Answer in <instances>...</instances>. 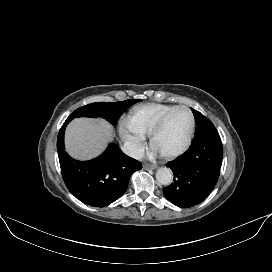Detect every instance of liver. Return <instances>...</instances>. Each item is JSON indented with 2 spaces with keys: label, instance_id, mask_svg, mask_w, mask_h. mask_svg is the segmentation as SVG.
Wrapping results in <instances>:
<instances>
[{
  "label": "liver",
  "instance_id": "obj_1",
  "mask_svg": "<svg viewBox=\"0 0 272 272\" xmlns=\"http://www.w3.org/2000/svg\"><path fill=\"white\" fill-rule=\"evenodd\" d=\"M113 137V127L107 121L77 118L67 126L65 145L72 157L87 160L99 155Z\"/></svg>",
  "mask_w": 272,
  "mask_h": 272
}]
</instances>
